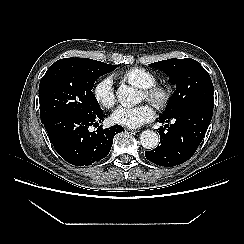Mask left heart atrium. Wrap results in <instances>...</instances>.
Returning <instances> with one entry per match:
<instances>
[{
	"label": "left heart atrium",
	"instance_id": "obj_1",
	"mask_svg": "<svg viewBox=\"0 0 244 244\" xmlns=\"http://www.w3.org/2000/svg\"><path fill=\"white\" fill-rule=\"evenodd\" d=\"M154 118L153 109L142 104L134 107L120 106L112 113V120L119 125L137 128Z\"/></svg>",
	"mask_w": 244,
	"mask_h": 244
}]
</instances>
